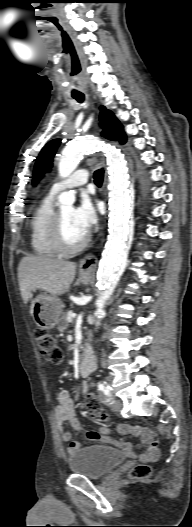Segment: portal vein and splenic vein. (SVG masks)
Masks as SVG:
<instances>
[{"mask_svg":"<svg viewBox=\"0 0 192 527\" xmlns=\"http://www.w3.org/2000/svg\"><path fill=\"white\" fill-rule=\"evenodd\" d=\"M75 318V313H73L72 311L68 312V315H67V321L68 322H72V320Z\"/></svg>","mask_w":192,"mask_h":527,"instance_id":"obj_1","label":"portal vein and splenic vein"}]
</instances>
